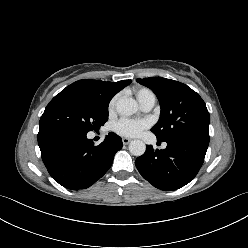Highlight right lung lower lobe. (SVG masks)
I'll list each match as a JSON object with an SVG mask.
<instances>
[{"label":"right lung lower lobe","mask_w":248,"mask_h":248,"mask_svg":"<svg viewBox=\"0 0 248 248\" xmlns=\"http://www.w3.org/2000/svg\"><path fill=\"white\" fill-rule=\"evenodd\" d=\"M38 145L51 177L65 188L78 190L90 187L107 172L123 143L113 132L95 146L86 134L44 129L39 130Z\"/></svg>","instance_id":"98d812e1"}]
</instances>
